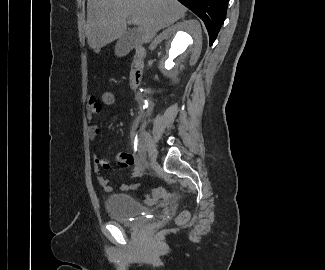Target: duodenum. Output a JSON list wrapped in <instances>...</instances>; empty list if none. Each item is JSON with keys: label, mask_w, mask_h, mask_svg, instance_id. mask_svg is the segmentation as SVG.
<instances>
[{"label": "duodenum", "mask_w": 325, "mask_h": 270, "mask_svg": "<svg viewBox=\"0 0 325 270\" xmlns=\"http://www.w3.org/2000/svg\"><path fill=\"white\" fill-rule=\"evenodd\" d=\"M145 56V48L141 45L136 46L131 61L130 84L137 92H139L143 80ZM139 100L142 101V98L139 97Z\"/></svg>", "instance_id": "410a0bca"}]
</instances>
